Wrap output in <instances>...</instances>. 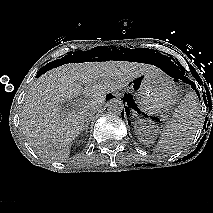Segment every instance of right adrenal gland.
<instances>
[{
  "label": "right adrenal gland",
  "mask_w": 213,
  "mask_h": 213,
  "mask_svg": "<svg viewBox=\"0 0 213 213\" xmlns=\"http://www.w3.org/2000/svg\"><path fill=\"white\" fill-rule=\"evenodd\" d=\"M88 125H89V123L88 122H86L85 123V125H84V127H83V129H82V131L85 129V133L87 134V132H88Z\"/></svg>",
  "instance_id": "right-adrenal-gland-1"
}]
</instances>
